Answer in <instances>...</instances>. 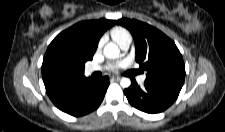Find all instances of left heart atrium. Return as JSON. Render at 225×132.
<instances>
[{
    "mask_svg": "<svg viewBox=\"0 0 225 132\" xmlns=\"http://www.w3.org/2000/svg\"><path fill=\"white\" fill-rule=\"evenodd\" d=\"M119 66H120L119 63L112 64V65H110V69H111V70H116Z\"/></svg>",
    "mask_w": 225,
    "mask_h": 132,
    "instance_id": "obj_1",
    "label": "left heart atrium"
}]
</instances>
